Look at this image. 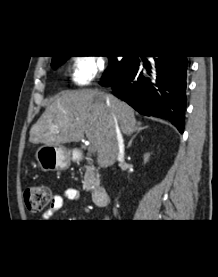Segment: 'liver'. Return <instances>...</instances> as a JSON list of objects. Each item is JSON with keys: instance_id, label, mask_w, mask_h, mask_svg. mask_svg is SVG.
Returning a JSON list of instances; mask_svg holds the SVG:
<instances>
[{"instance_id": "1", "label": "liver", "mask_w": 218, "mask_h": 277, "mask_svg": "<svg viewBox=\"0 0 218 277\" xmlns=\"http://www.w3.org/2000/svg\"><path fill=\"white\" fill-rule=\"evenodd\" d=\"M114 117L124 134L138 126L134 110L113 95L97 90L64 91L32 126L29 141L60 146L78 142L86 134L97 150L98 164L108 167L118 152Z\"/></svg>"}]
</instances>
